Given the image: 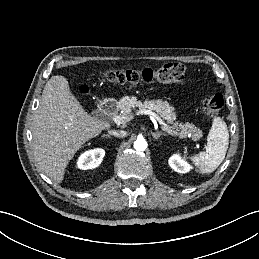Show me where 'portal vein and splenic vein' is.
I'll return each instance as SVG.
<instances>
[{
  "label": "portal vein and splenic vein",
  "instance_id": "1",
  "mask_svg": "<svg viewBox=\"0 0 259 259\" xmlns=\"http://www.w3.org/2000/svg\"><path fill=\"white\" fill-rule=\"evenodd\" d=\"M136 114L148 115L152 121H157L160 125H162L164 127V130L169 128V126L156 113L150 110H145V109L139 110L137 111ZM132 118L133 116L128 117V116L114 115L112 117V120L117 124H125L126 122L130 121Z\"/></svg>",
  "mask_w": 259,
  "mask_h": 259
}]
</instances>
